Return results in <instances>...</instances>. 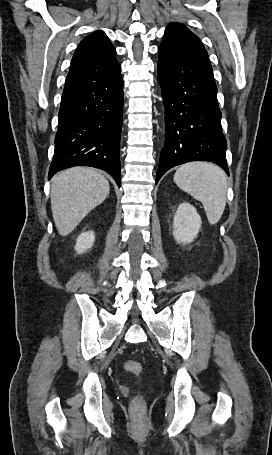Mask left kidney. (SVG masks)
Returning a JSON list of instances; mask_svg holds the SVG:
<instances>
[{
	"label": "left kidney",
	"mask_w": 272,
	"mask_h": 455,
	"mask_svg": "<svg viewBox=\"0 0 272 455\" xmlns=\"http://www.w3.org/2000/svg\"><path fill=\"white\" fill-rule=\"evenodd\" d=\"M201 223L194 206L186 202L180 204L173 222V236L176 242L183 244L192 242L197 237Z\"/></svg>",
	"instance_id": "5707ae66"
}]
</instances>
